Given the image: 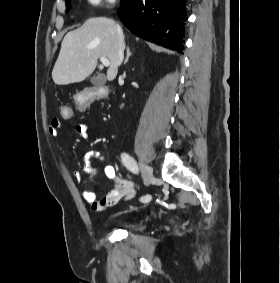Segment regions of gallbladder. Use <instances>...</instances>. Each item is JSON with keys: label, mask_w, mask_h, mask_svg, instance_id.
Masks as SVG:
<instances>
[{"label": "gallbladder", "mask_w": 280, "mask_h": 283, "mask_svg": "<svg viewBox=\"0 0 280 283\" xmlns=\"http://www.w3.org/2000/svg\"><path fill=\"white\" fill-rule=\"evenodd\" d=\"M90 81L94 86L101 87L105 84L106 79L103 74H97L96 76L92 77Z\"/></svg>", "instance_id": "obj_1"}]
</instances>
